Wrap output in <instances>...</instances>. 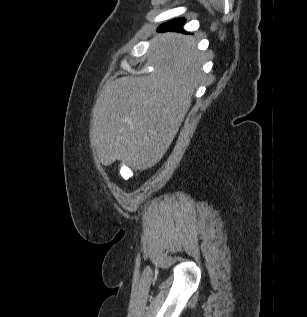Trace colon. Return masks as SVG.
Segmentation results:
<instances>
[{
    "label": "colon",
    "mask_w": 307,
    "mask_h": 317,
    "mask_svg": "<svg viewBox=\"0 0 307 317\" xmlns=\"http://www.w3.org/2000/svg\"><path fill=\"white\" fill-rule=\"evenodd\" d=\"M120 174L123 178L128 179L132 176L133 170L129 166L121 164L120 165Z\"/></svg>",
    "instance_id": "1"
}]
</instances>
